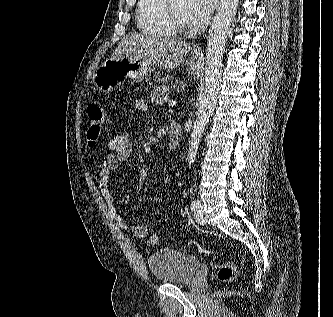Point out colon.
Listing matches in <instances>:
<instances>
[{
  "instance_id": "1",
  "label": "colon",
  "mask_w": 333,
  "mask_h": 317,
  "mask_svg": "<svg viewBox=\"0 0 333 317\" xmlns=\"http://www.w3.org/2000/svg\"><path fill=\"white\" fill-rule=\"evenodd\" d=\"M87 130L86 141L91 147L95 146L100 138L101 130L105 121V109L102 105L93 103L87 107ZM149 242L152 245L158 243V234L152 232L149 235ZM236 276V270L233 262L229 259L223 261V263L217 268L216 277L222 284H229L234 281Z\"/></svg>"
}]
</instances>
